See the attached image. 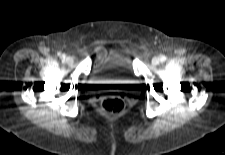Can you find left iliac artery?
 <instances>
[{
    "label": "left iliac artery",
    "mask_w": 225,
    "mask_h": 155,
    "mask_svg": "<svg viewBox=\"0 0 225 155\" xmlns=\"http://www.w3.org/2000/svg\"><path fill=\"white\" fill-rule=\"evenodd\" d=\"M160 60H161L162 62H164V61L166 60V56H164V55L160 56Z\"/></svg>",
    "instance_id": "left-iliac-artery-1"
}]
</instances>
